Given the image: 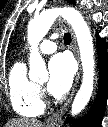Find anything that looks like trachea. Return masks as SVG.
Wrapping results in <instances>:
<instances>
[{"instance_id": "1", "label": "trachea", "mask_w": 108, "mask_h": 127, "mask_svg": "<svg viewBox=\"0 0 108 127\" xmlns=\"http://www.w3.org/2000/svg\"><path fill=\"white\" fill-rule=\"evenodd\" d=\"M71 35L69 33L64 34V43L65 44H70L71 43Z\"/></svg>"}]
</instances>
